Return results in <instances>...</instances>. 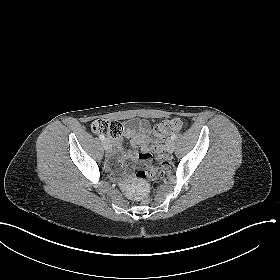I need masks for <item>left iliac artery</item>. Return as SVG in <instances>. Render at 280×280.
I'll list each match as a JSON object with an SVG mask.
<instances>
[{"label":"left iliac artery","instance_id":"left-iliac-artery-1","mask_svg":"<svg viewBox=\"0 0 280 280\" xmlns=\"http://www.w3.org/2000/svg\"><path fill=\"white\" fill-rule=\"evenodd\" d=\"M176 137H177L176 134H172V135H171V139H172V140H175Z\"/></svg>","mask_w":280,"mask_h":280}]
</instances>
